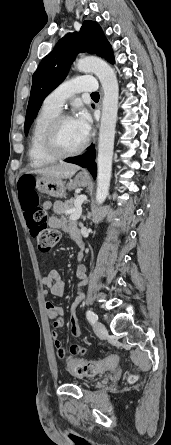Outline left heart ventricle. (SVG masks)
<instances>
[{
  "label": "left heart ventricle",
  "instance_id": "1",
  "mask_svg": "<svg viewBox=\"0 0 171 445\" xmlns=\"http://www.w3.org/2000/svg\"><path fill=\"white\" fill-rule=\"evenodd\" d=\"M86 139L75 119L64 121L57 133V142L63 150L78 148Z\"/></svg>",
  "mask_w": 171,
  "mask_h": 445
}]
</instances>
